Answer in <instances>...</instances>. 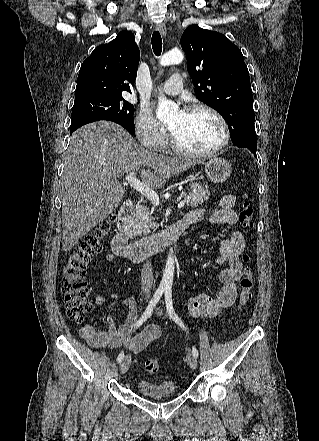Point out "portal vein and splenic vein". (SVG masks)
Masks as SVG:
<instances>
[{
    "label": "portal vein and splenic vein",
    "mask_w": 319,
    "mask_h": 441,
    "mask_svg": "<svg viewBox=\"0 0 319 441\" xmlns=\"http://www.w3.org/2000/svg\"><path fill=\"white\" fill-rule=\"evenodd\" d=\"M126 181L138 192H140L143 196H145L149 201H151L155 205L160 204L158 194L147 186L145 183L141 182L136 177V171H131L125 175ZM185 205V200H182L178 204V208H182Z\"/></svg>",
    "instance_id": "18ae733b"
}]
</instances>
